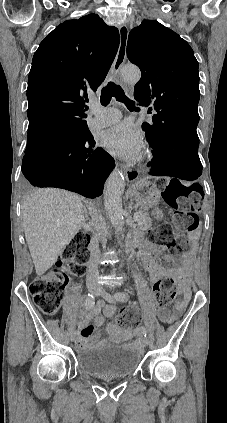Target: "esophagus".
I'll use <instances>...</instances> for the list:
<instances>
[{"label":"esophagus","mask_w":227,"mask_h":423,"mask_svg":"<svg viewBox=\"0 0 227 423\" xmlns=\"http://www.w3.org/2000/svg\"><path fill=\"white\" fill-rule=\"evenodd\" d=\"M120 43L116 58L112 66V73L115 77L118 76L119 70L126 60L127 41L129 36V29L127 25H120L119 27ZM125 177L128 182H133L139 177V172L131 168L124 169Z\"/></svg>","instance_id":"obj_1"}]
</instances>
